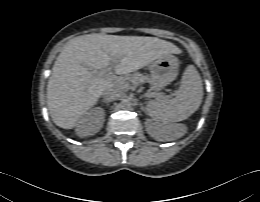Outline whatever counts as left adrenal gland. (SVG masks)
I'll return each mask as SVG.
<instances>
[{
	"mask_svg": "<svg viewBox=\"0 0 260 202\" xmlns=\"http://www.w3.org/2000/svg\"><path fill=\"white\" fill-rule=\"evenodd\" d=\"M141 110L147 113V108L143 106V104H140Z\"/></svg>",
	"mask_w": 260,
	"mask_h": 202,
	"instance_id": "left-adrenal-gland-1",
	"label": "left adrenal gland"
}]
</instances>
